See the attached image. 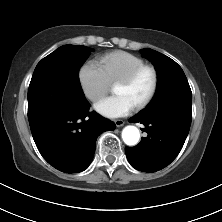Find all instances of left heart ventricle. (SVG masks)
I'll list each match as a JSON object with an SVG mask.
<instances>
[{"mask_svg":"<svg viewBox=\"0 0 222 222\" xmlns=\"http://www.w3.org/2000/svg\"><path fill=\"white\" fill-rule=\"evenodd\" d=\"M151 86L152 75L149 71H144L133 84H117L114 87L113 92L116 95H125L136 106L148 95Z\"/></svg>","mask_w":222,"mask_h":222,"instance_id":"left-heart-ventricle-1","label":"left heart ventricle"}]
</instances>
